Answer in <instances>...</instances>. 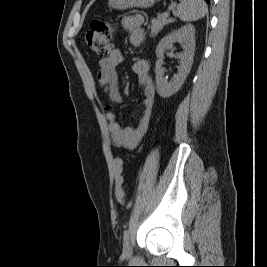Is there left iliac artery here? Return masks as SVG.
Wrapping results in <instances>:
<instances>
[{"mask_svg": "<svg viewBox=\"0 0 267 267\" xmlns=\"http://www.w3.org/2000/svg\"><path fill=\"white\" fill-rule=\"evenodd\" d=\"M128 238H129V231L126 230V231H124L123 239H124V241H125V240L128 239Z\"/></svg>", "mask_w": 267, "mask_h": 267, "instance_id": "44dca946", "label": "left iliac artery"}]
</instances>
